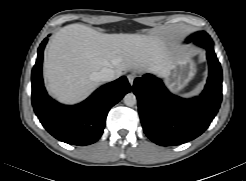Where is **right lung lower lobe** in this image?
<instances>
[{
    "mask_svg": "<svg viewBox=\"0 0 246 181\" xmlns=\"http://www.w3.org/2000/svg\"><path fill=\"white\" fill-rule=\"evenodd\" d=\"M45 39L38 48V58L33 67L32 104L44 128L56 139L72 145H89L103 133L106 116L112 106L130 92L125 76L97 89L80 104L65 106L50 98L42 79Z\"/></svg>",
    "mask_w": 246,
    "mask_h": 181,
    "instance_id": "98d812e1",
    "label": "right lung lower lobe"
}]
</instances>
